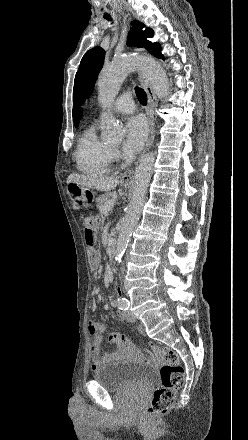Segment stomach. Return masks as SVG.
Here are the masks:
<instances>
[{"label":"stomach","instance_id":"obj_1","mask_svg":"<svg viewBox=\"0 0 248 440\" xmlns=\"http://www.w3.org/2000/svg\"><path fill=\"white\" fill-rule=\"evenodd\" d=\"M122 184L125 186L128 185V183L124 181H122ZM67 193L73 204L79 208L89 207L95 200V192L91 188L77 183L68 184Z\"/></svg>","mask_w":248,"mask_h":440}]
</instances>
